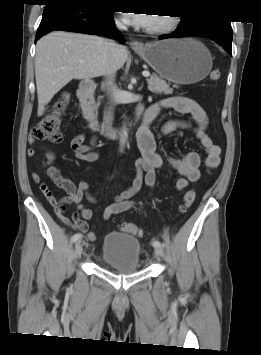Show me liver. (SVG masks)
Returning <instances> with one entry per match:
<instances>
[{
	"instance_id": "liver-1",
	"label": "liver",
	"mask_w": 261,
	"mask_h": 355,
	"mask_svg": "<svg viewBox=\"0 0 261 355\" xmlns=\"http://www.w3.org/2000/svg\"><path fill=\"white\" fill-rule=\"evenodd\" d=\"M107 39L85 34L54 31L36 45L35 78L38 95V116L45 106L73 79L103 76L113 66ZM128 50L119 45L116 69L126 62ZM79 60H83L80 63Z\"/></svg>"
}]
</instances>
